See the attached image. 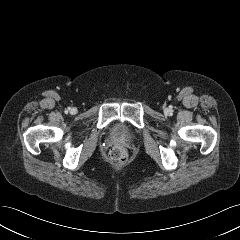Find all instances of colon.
<instances>
[{"instance_id": "1", "label": "colon", "mask_w": 240, "mask_h": 240, "mask_svg": "<svg viewBox=\"0 0 240 240\" xmlns=\"http://www.w3.org/2000/svg\"><path fill=\"white\" fill-rule=\"evenodd\" d=\"M127 158V150L122 146L115 145L109 150L108 160L113 166L120 167L124 165Z\"/></svg>"}]
</instances>
